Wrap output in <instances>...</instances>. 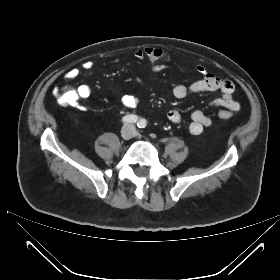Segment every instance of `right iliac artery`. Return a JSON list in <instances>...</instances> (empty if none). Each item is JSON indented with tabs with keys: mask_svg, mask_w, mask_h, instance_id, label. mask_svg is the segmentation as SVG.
Wrapping results in <instances>:
<instances>
[{
	"mask_svg": "<svg viewBox=\"0 0 280 280\" xmlns=\"http://www.w3.org/2000/svg\"><path fill=\"white\" fill-rule=\"evenodd\" d=\"M138 121V117L136 115H126L122 118V122L125 123V124H128V123H135Z\"/></svg>",
	"mask_w": 280,
	"mask_h": 280,
	"instance_id": "obj_1",
	"label": "right iliac artery"
}]
</instances>
